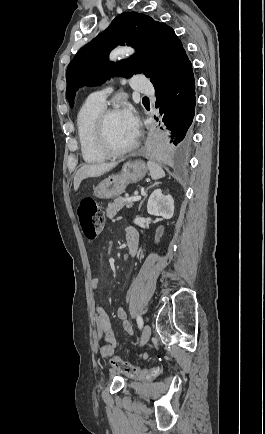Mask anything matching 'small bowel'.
<instances>
[{"label": "small bowel", "instance_id": "small-bowel-1", "mask_svg": "<svg viewBox=\"0 0 265 434\" xmlns=\"http://www.w3.org/2000/svg\"><path fill=\"white\" fill-rule=\"evenodd\" d=\"M136 239L138 236L133 228H129L127 232V243ZM139 244V242H138ZM91 288L97 291L100 288V281L92 279ZM117 317L121 321L124 330L132 336V328L127 318V313L123 307L117 309ZM95 323V341L102 357L112 356L116 347V337L113 332L111 320L101 305H97L94 311Z\"/></svg>", "mask_w": 265, "mask_h": 434}]
</instances>
